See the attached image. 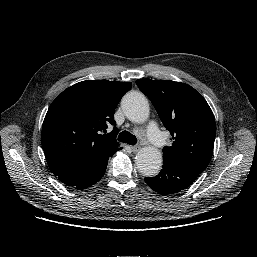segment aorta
Returning a JSON list of instances; mask_svg holds the SVG:
<instances>
[{"mask_svg":"<svg viewBox=\"0 0 257 257\" xmlns=\"http://www.w3.org/2000/svg\"><path fill=\"white\" fill-rule=\"evenodd\" d=\"M121 106L125 116L133 122L143 123L149 117V102L140 92L126 94ZM135 163L142 175L153 177L159 173L162 166V154L154 147H143L137 152Z\"/></svg>","mask_w":257,"mask_h":257,"instance_id":"aorta-1","label":"aorta"}]
</instances>
